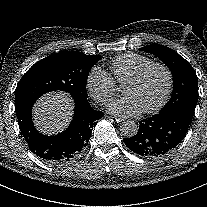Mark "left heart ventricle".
<instances>
[{"instance_id":"left-heart-ventricle-1","label":"left heart ventricle","mask_w":207,"mask_h":207,"mask_svg":"<svg viewBox=\"0 0 207 207\" xmlns=\"http://www.w3.org/2000/svg\"><path fill=\"white\" fill-rule=\"evenodd\" d=\"M167 87V75L160 68L151 69L138 83L125 84V96L130 97L140 112L155 107L162 99Z\"/></svg>"}]
</instances>
